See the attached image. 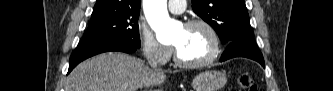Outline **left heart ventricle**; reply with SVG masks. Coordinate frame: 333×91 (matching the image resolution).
<instances>
[{
	"instance_id": "left-heart-ventricle-1",
	"label": "left heart ventricle",
	"mask_w": 333,
	"mask_h": 91,
	"mask_svg": "<svg viewBox=\"0 0 333 91\" xmlns=\"http://www.w3.org/2000/svg\"><path fill=\"white\" fill-rule=\"evenodd\" d=\"M173 45L186 61H200L212 51V40L202 27L181 28L175 36Z\"/></svg>"
}]
</instances>
